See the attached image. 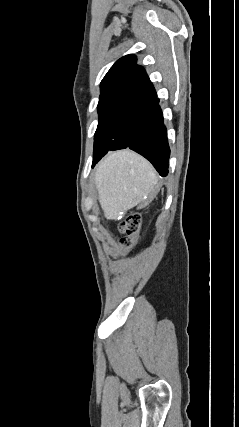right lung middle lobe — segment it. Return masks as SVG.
Segmentation results:
<instances>
[{"instance_id": "1", "label": "right lung middle lobe", "mask_w": 239, "mask_h": 427, "mask_svg": "<svg viewBox=\"0 0 239 427\" xmlns=\"http://www.w3.org/2000/svg\"><path fill=\"white\" fill-rule=\"evenodd\" d=\"M149 101L139 98L107 99L98 103L99 122L94 135L93 164L109 150L127 146L139 119L148 111Z\"/></svg>"}]
</instances>
